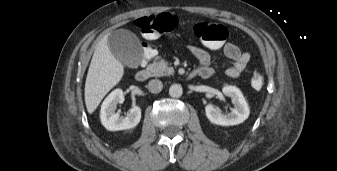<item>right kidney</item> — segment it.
I'll list each match as a JSON object with an SVG mask.
<instances>
[{"label":"right kidney","mask_w":337,"mask_h":171,"mask_svg":"<svg viewBox=\"0 0 337 171\" xmlns=\"http://www.w3.org/2000/svg\"><path fill=\"white\" fill-rule=\"evenodd\" d=\"M124 95L121 89H115L103 101L100 111L102 125L109 131L134 128L141 119V109L134 106L125 117L115 112L117 104L123 103Z\"/></svg>","instance_id":"1"}]
</instances>
